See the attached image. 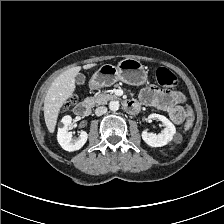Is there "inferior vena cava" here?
I'll return each instance as SVG.
<instances>
[{"instance_id": "obj_1", "label": "inferior vena cava", "mask_w": 224, "mask_h": 224, "mask_svg": "<svg viewBox=\"0 0 224 224\" xmlns=\"http://www.w3.org/2000/svg\"><path fill=\"white\" fill-rule=\"evenodd\" d=\"M107 112V108L105 106L97 107L95 110L96 116H101Z\"/></svg>"}]
</instances>
